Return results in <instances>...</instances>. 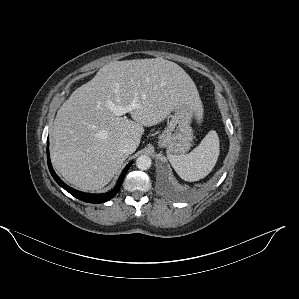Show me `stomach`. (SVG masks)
Instances as JSON below:
<instances>
[{
    "label": "stomach",
    "instance_id": "0dacf381",
    "mask_svg": "<svg viewBox=\"0 0 299 299\" xmlns=\"http://www.w3.org/2000/svg\"><path fill=\"white\" fill-rule=\"evenodd\" d=\"M196 112L189 104L174 110L167 128L159 136L158 145L166 148L167 155H182L189 151L193 140L191 122Z\"/></svg>",
    "mask_w": 299,
    "mask_h": 299
}]
</instances>
